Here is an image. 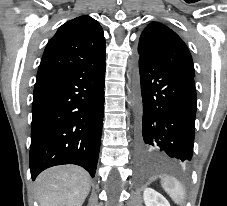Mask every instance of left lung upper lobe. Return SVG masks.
<instances>
[{
  "label": "left lung upper lobe",
  "instance_id": "5c2ea615",
  "mask_svg": "<svg viewBox=\"0 0 227 206\" xmlns=\"http://www.w3.org/2000/svg\"><path fill=\"white\" fill-rule=\"evenodd\" d=\"M138 56L195 75L186 44L164 24L152 22L145 28L139 40Z\"/></svg>",
  "mask_w": 227,
  "mask_h": 206
}]
</instances>
